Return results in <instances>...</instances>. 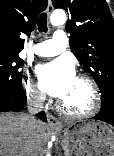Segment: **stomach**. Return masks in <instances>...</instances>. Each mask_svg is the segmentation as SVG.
Masks as SVG:
<instances>
[{"instance_id":"1","label":"stomach","mask_w":114,"mask_h":156,"mask_svg":"<svg viewBox=\"0 0 114 156\" xmlns=\"http://www.w3.org/2000/svg\"><path fill=\"white\" fill-rule=\"evenodd\" d=\"M58 131L65 156H114V132L103 122H71Z\"/></svg>"}]
</instances>
